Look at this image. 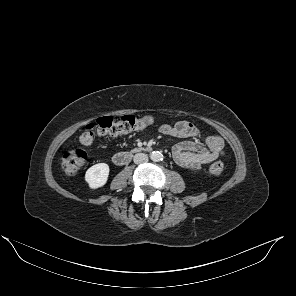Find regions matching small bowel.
Returning <instances> with one entry per match:
<instances>
[{"label":"small bowel","instance_id":"c3829d8e","mask_svg":"<svg viewBox=\"0 0 296 296\" xmlns=\"http://www.w3.org/2000/svg\"><path fill=\"white\" fill-rule=\"evenodd\" d=\"M159 132L185 139L172 146L173 159L181 167L200 170L203 165L221 158L224 154V141L220 136L212 134L200 142V130L188 121L163 124L159 127Z\"/></svg>","mask_w":296,"mask_h":296}]
</instances>
